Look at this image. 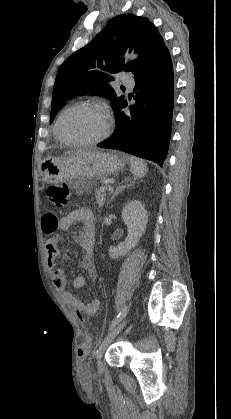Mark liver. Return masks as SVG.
Masks as SVG:
<instances>
[{
    "mask_svg": "<svg viewBox=\"0 0 231 419\" xmlns=\"http://www.w3.org/2000/svg\"><path fill=\"white\" fill-rule=\"evenodd\" d=\"M82 152H85V150H77V151H72V152H68V153H66V154H72V153H82Z\"/></svg>",
    "mask_w": 231,
    "mask_h": 419,
    "instance_id": "obj_1",
    "label": "liver"
}]
</instances>
